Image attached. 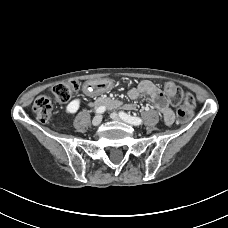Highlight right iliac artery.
Wrapping results in <instances>:
<instances>
[{"label":"right iliac artery","mask_w":228,"mask_h":228,"mask_svg":"<svg viewBox=\"0 0 228 228\" xmlns=\"http://www.w3.org/2000/svg\"><path fill=\"white\" fill-rule=\"evenodd\" d=\"M106 110L105 106H100L96 109V113H103Z\"/></svg>","instance_id":"right-iliac-artery-1"}]
</instances>
